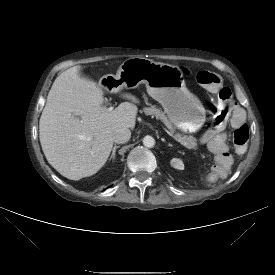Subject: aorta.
Wrapping results in <instances>:
<instances>
[{
  "instance_id": "aorta-1",
  "label": "aorta",
  "mask_w": 275,
  "mask_h": 275,
  "mask_svg": "<svg viewBox=\"0 0 275 275\" xmlns=\"http://www.w3.org/2000/svg\"><path fill=\"white\" fill-rule=\"evenodd\" d=\"M143 145L147 148H152L155 145V139L152 136H145L143 138Z\"/></svg>"
}]
</instances>
